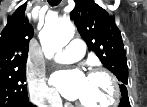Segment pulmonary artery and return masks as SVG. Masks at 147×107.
Instances as JSON below:
<instances>
[{"mask_svg": "<svg viewBox=\"0 0 147 107\" xmlns=\"http://www.w3.org/2000/svg\"><path fill=\"white\" fill-rule=\"evenodd\" d=\"M85 44L80 39H74L61 52H59L54 60L59 63H73L81 59L85 53Z\"/></svg>", "mask_w": 147, "mask_h": 107, "instance_id": "1", "label": "pulmonary artery"}]
</instances>
